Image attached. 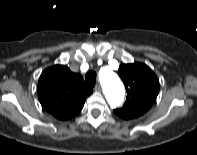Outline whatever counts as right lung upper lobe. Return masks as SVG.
<instances>
[{"instance_id":"1","label":"right lung upper lobe","mask_w":197,"mask_h":155,"mask_svg":"<svg viewBox=\"0 0 197 155\" xmlns=\"http://www.w3.org/2000/svg\"><path fill=\"white\" fill-rule=\"evenodd\" d=\"M93 90L80 74L67 66L54 65L43 71L38 82V97L43 108L59 120H68L82 109Z\"/></svg>"}]
</instances>
